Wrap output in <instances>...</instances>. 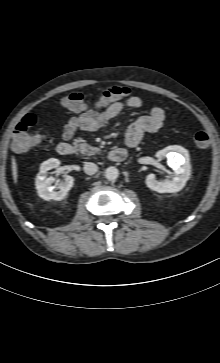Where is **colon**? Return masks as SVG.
<instances>
[{"mask_svg": "<svg viewBox=\"0 0 220 363\" xmlns=\"http://www.w3.org/2000/svg\"><path fill=\"white\" fill-rule=\"evenodd\" d=\"M131 90L125 86L114 85L102 90L97 97L98 105H105L126 99ZM62 105L69 110L79 111L85 107V97L80 92H71L62 99ZM38 118L34 113L27 114L15 127L12 139V149L17 153L30 150L43 139L42 134H34L31 129L37 124ZM197 146L205 148L210 144V137L205 131L194 134Z\"/></svg>", "mask_w": 220, "mask_h": 363, "instance_id": "5ec220e1", "label": "colon"}]
</instances>
